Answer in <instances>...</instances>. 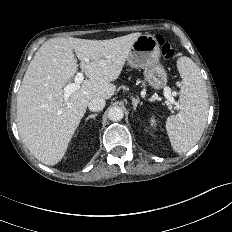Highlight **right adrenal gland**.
<instances>
[{
  "label": "right adrenal gland",
  "instance_id": "right-adrenal-gland-1",
  "mask_svg": "<svg viewBox=\"0 0 232 232\" xmlns=\"http://www.w3.org/2000/svg\"><path fill=\"white\" fill-rule=\"evenodd\" d=\"M97 115H98L97 113L90 114V115L86 118V121H88V120L91 119V118L95 120V117H96Z\"/></svg>",
  "mask_w": 232,
  "mask_h": 232
}]
</instances>
